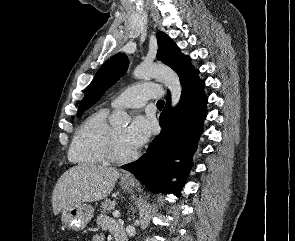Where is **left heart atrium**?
<instances>
[{
	"label": "left heart atrium",
	"instance_id": "1",
	"mask_svg": "<svg viewBox=\"0 0 295 241\" xmlns=\"http://www.w3.org/2000/svg\"><path fill=\"white\" fill-rule=\"evenodd\" d=\"M153 127V121L145 116H137L126 129L125 140L133 148L138 149L149 139Z\"/></svg>",
	"mask_w": 295,
	"mask_h": 241
}]
</instances>
